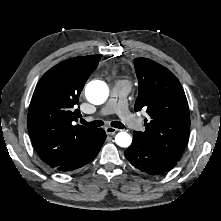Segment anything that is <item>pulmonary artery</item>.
I'll return each mask as SVG.
<instances>
[{
    "instance_id": "1",
    "label": "pulmonary artery",
    "mask_w": 221,
    "mask_h": 221,
    "mask_svg": "<svg viewBox=\"0 0 221 221\" xmlns=\"http://www.w3.org/2000/svg\"><path fill=\"white\" fill-rule=\"evenodd\" d=\"M130 91L131 85L129 82L116 81L111 89L110 99L100 110V115L116 113L129 128L140 131L143 128L142 121L128 110L126 97Z\"/></svg>"
}]
</instances>
